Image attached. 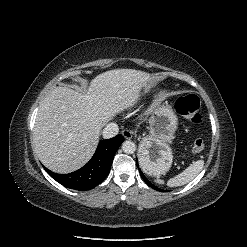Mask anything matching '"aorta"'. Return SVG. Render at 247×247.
<instances>
[{"label": "aorta", "mask_w": 247, "mask_h": 247, "mask_svg": "<svg viewBox=\"0 0 247 247\" xmlns=\"http://www.w3.org/2000/svg\"><path fill=\"white\" fill-rule=\"evenodd\" d=\"M122 150L126 154H133L136 150V145L130 140L124 141L122 144Z\"/></svg>", "instance_id": "obj_1"}]
</instances>
